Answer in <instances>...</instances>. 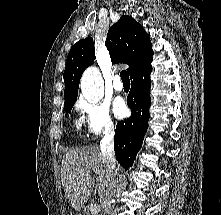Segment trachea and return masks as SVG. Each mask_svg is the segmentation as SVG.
<instances>
[{"instance_id":"obj_1","label":"trachea","mask_w":221,"mask_h":215,"mask_svg":"<svg viewBox=\"0 0 221 215\" xmlns=\"http://www.w3.org/2000/svg\"><path fill=\"white\" fill-rule=\"evenodd\" d=\"M120 76H121V79H122L123 83H130V79H129V75H128L127 71H125V70L122 71L120 73Z\"/></svg>"}]
</instances>
